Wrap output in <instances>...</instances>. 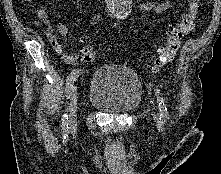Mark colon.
I'll list each match as a JSON object with an SVG mask.
<instances>
[{
    "label": "colon",
    "mask_w": 221,
    "mask_h": 174,
    "mask_svg": "<svg viewBox=\"0 0 221 174\" xmlns=\"http://www.w3.org/2000/svg\"><path fill=\"white\" fill-rule=\"evenodd\" d=\"M200 8L201 0H188L187 9L181 18L171 22L166 30V43L158 49L157 55L150 62L149 69L152 72H158L174 58L181 40L194 29ZM95 58V52L91 46L83 48L84 62L91 63Z\"/></svg>",
    "instance_id": "obj_1"
}]
</instances>
